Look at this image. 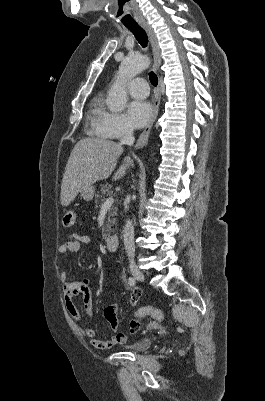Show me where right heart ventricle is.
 I'll use <instances>...</instances> for the list:
<instances>
[{"instance_id": "1", "label": "right heart ventricle", "mask_w": 265, "mask_h": 401, "mask_svg": "<svg viewBox=\"0 0 265 401\" xmlns=\"http://www.w3.org/2000/svg\"><path fill=\"white\" fill-rule=\"evenodd\" d=\"M106 113L105 111V100L102 93L94 94L88 105V115L91 116V130L94 135L101 138L104 142H111L112 139L124 140L127 137L116 138L110 135L104 128L102 123V116Z\"/></svg>"}]
</instances>
